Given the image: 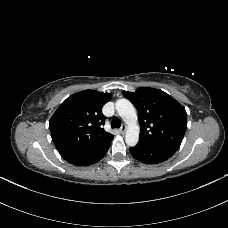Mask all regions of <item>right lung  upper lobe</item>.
Returning a JSON list of instances; mask_svg holds the SVG:
<instances>
[{"label":"right lung upper lobe","instance_id":"cb5924a9","mask_svg":"<svg viewBox=\"0 0 228 228\" xmlns=\"http://www.w3.org/2000/svg\"><path fill=\"white\" fill-rule=\"evenodd\" d=\"M110 93L84 90L69 96L49 122L52 140L62 157L82 153L113 139L105 132L102 107Z\"/></svg>","mask_w":228,"mask_h":228}]
</instances>
